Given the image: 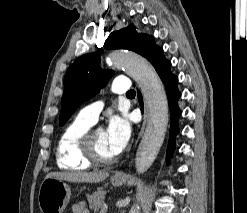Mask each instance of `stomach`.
Instances as JSON below:
<instances>
[{
	"label": "stomach",
	"mask_w": 247,
	"mask_h": 213,
	"mask_svg": "<svg viewBox=\"0 0 247 213\" xmlns=\"http://www.w3.org/2000/svg\"><path fill=\"white\" fill-rule=\"evenodd\" d=\"M113 186H121L124 179L111 178ZM71 196L67 183L56 178H45L40 185L38 203L42 213H62Z\"/></svg>",
	"instance_id": "0dacf381"
}]
</instances>
